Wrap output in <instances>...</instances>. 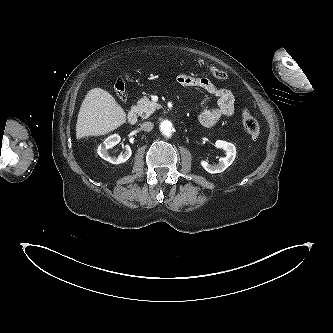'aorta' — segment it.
<instances>
[{
    "instance_id": "1",
    "label": "aorta",
    "mask_w": 333,
    "mask_h": 333,
    "mask_svg": "<svg viewBox=\"0 0 333 333\" xmlns=\"http://www.w3.org/2000/svg\"><path fill=\"white\" fill-rule=\"evenodd\" d=\"M160 129L165 135L169 136L172 133V123L170 121H163Z\"/></svg>"
}]
</instances>
